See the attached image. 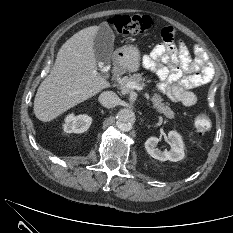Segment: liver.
<instances>
[{"instance_id":"liver-1","label":"liver","mask_w":233,"mask_h":233,"mask_svg":"<svg viewBox=\"0 0 233 233\" xmlns=\"http://www.w3.org/2000/svg\"><path fill=\"white\" fill-rule=\"evenodd\" d=\"M99 26L75 33L59 49L50 74L42 81L34 99V114L48 122L110 86L97 72L93 50Z\"/></svg>"}]
</instances>
